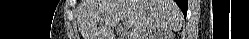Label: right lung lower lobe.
Masks as SVG:
<instances>
[{
	"label": "right lung lower lobe",
	"instance_id": "98d812e1",
	"mask_svg": "<svg viewBox=\"0 0 249 39\" xmlns=\"http://www.w3.org/2000/svg\"><path fill=\"white\" fill-rule=\"evenodd\" d=\"M181 11L183 12L184 16H186L188 2L187 0H175Z\"/></svg>",
	"mask_w": 249,
	"mask_h": 39
}]
</instances>
